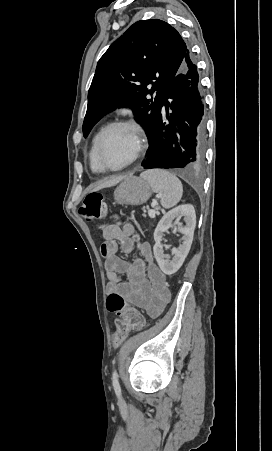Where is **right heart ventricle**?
<instances>
[{
	"mask_svg": "<svg viewBox=\"0 0 272 451\" xmlns=\"http://www.w3.org/2000/svg\"><path fill=\"white\" fill-rule=\"evenodd\" d=\"M98 136L94 139L91 151L89 153V166L92 172L98 173L97 162L95 158V146L97 142Z\"/></svg>",
	"mask_w": 272,
	"mask_h": 451,
	"instance_id": "right-heart-ventricle-1",
	"label": "right heart ventricle"
}]
</instances>
